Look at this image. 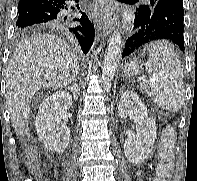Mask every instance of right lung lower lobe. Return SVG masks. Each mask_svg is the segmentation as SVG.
I'll return each instance as SVG.
<instances>
[{"instance_id":"98d812e1","label":"right lung lower lobe","mask_w":197,"mask_h":181,"mask_svg":"<svg viewBox=\"0 0 197 181\" xmlns=\"http://www.w3.org/2000/svg\"><path fill=\"white\" fill-rule=\"evenodd\" d=\"M78 2L79 0H20L16 25L19 29L47 27L64 31L78 42L86 54L94 40V25L81 10V18L65 15V10H74L71 5ZM76 21L79 24H75Z\"/></svg>"}]
</instances>
